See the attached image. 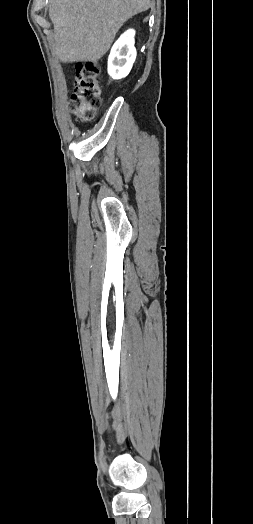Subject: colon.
<instances>
[{
    "instance_id": "1",
    "label": "colon",
    "mask_w": 253,
    "mask_h": 524,
    "mask_svg": "<svg viewBox=\"0 0 253 524\" xmlns=\"http://www.w3.org/2000/svg\"><path fill=\"white\" fill-rule=\"evenodd\" d=\"M99 73L100 67L96 61L81 62L76 66L70 108L83 122L92 120L100 106Z\"/></svg>"
}]
</instances>
